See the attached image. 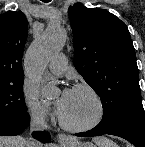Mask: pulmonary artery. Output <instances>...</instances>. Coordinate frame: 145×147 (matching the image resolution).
<instances>
[{"mask_svg":"<svg viewBox=\"0 0 145 147\" xmlns=\"http://www.w3.org/2000/svg\"><path fill=\"white\" fill-rule=\"evenodd\" d=\"M49 69L53 74H63L67 70L66 56L62 53L55 55L49 63Z\"/></svg>","mask_w":145,"mask_h":147,"instance_id":"obj_1","label":"pulmonary artery"}]
</instances>
